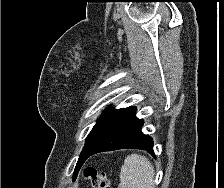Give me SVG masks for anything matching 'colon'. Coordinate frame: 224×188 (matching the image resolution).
Here are the masks:
<instances>
[{
    "instance_id": "colon-1",
    "label": "colon",
    "mask_w": 224,
    "mask_h": 188,
    "mask_svg": "<svg viewBox=\"0 0 224 188\" xmlns=\"http://www.w3.org/2000/svg\"><path fill=\"white\" fill-rule=\"evenodd\" d=\"M84 178L93 188H110L106 177L103 174H98L95 168H86L84 171Z\"/></svg>"
}]
</instances>
